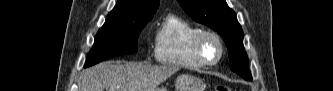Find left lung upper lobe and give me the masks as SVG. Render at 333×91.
<instances>
[{"instance_id": "5c2ea615", "label": "left lung upper lobe", "mask_w": 333, "mask_h": 91, "mask_svg": "<svg viewBox=\"0 0 333 91\" xmlns=\"http://www.w3.org/2000/svg\"><path fill=\"white\" fill-rule=\"evenodd\" d=\"M184 11L195 21L217 31L228 47L230 69L250 80L248 56L243 46V31L235 12L225 0H178Z\"/></svg>"}]
</instances>
